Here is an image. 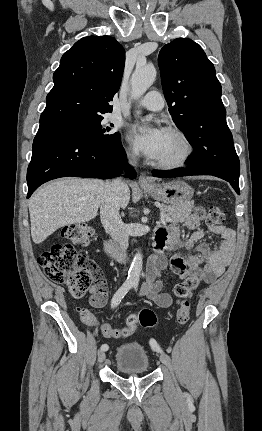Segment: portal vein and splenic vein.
I'll use <instances>...</instances> for the list:
<instances>
[{"instance_id": "18ae733b", "label": "portal vein and splenic vein", "mask_w": 262, "mask_h": 431, "mask_svg": "<svg viewBox=\"0 0 262 431\" xmlns=\"http://www.w3.org/2000/svg\"><path fill=\"white\" fill-rule=\"evenodd\" d=\"M161 221L162 222H170L171 219H170V217L162 216Z\"/></svg>"}]
</instances>
